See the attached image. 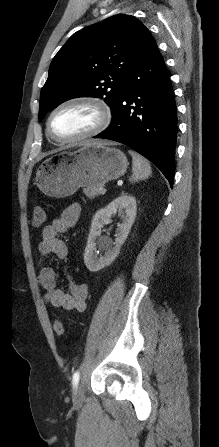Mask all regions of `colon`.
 Masks as SVG:
<instances>
[{"instance_id":"1","label":"colon","mask_w":219,"mask_h":447,"mask_svg":"<svg viewBox=\"0 0 219 447\" xmlns=\"http://www.w3.org/2000/svg\"><path fill=\"white\" fill-rule=\"evenodd\" d=\"M47 221L45 211L41 207H36L33 212V225L36 227L43 226ZM53 330L57 335H63L64 325L62 321L55 320L53 323Z\"/></svg>"}]
</instances>
